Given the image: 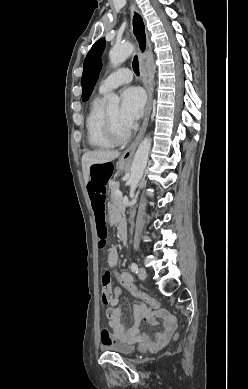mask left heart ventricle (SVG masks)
Here are the masks:
<instances>
[{
	"label": "left heart ventricle",
	"mask_w": 248,
	"mask_h": 389,
	"mask_svg": "<svg viewBox=\"0 0 248 389\" xmlns=\"http://www.w3.org/2000/svg\"><path fill=\"white\" fill-rule=\"evenodd\" d=\"M109 116L111 117L116 129L120 133H125L128 130L122 125L119 119V108H113L107 111Z\"/></svg>",
	"instance_id": "b2bd125f"
}]
</instances>
